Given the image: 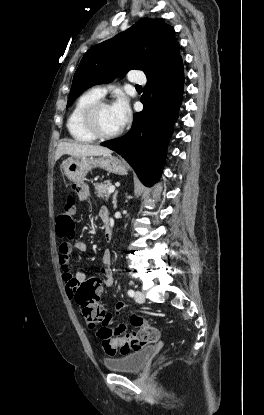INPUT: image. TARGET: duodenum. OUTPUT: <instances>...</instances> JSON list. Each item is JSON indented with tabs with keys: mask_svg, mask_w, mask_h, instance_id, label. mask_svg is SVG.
<instances>
[{
	"mask_svg": "<svg viewBox=\"0 0 264 415\" xmlns=\"http://www.w3.org/2000/svg\"><path fill=\"white\" fill-rule=\"evenodd\" d=\"M106 225H107V228H106V232H105V237H106L107 242L110 243L113 239V233H112V230H111V227H110V219H107Z\"/></svg>",
	"mask_w": 264,
	"mask_h": 415,
	"instance_id": "obj_1",
	"label": "duodenum"
}]
</instances>
